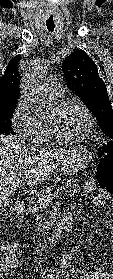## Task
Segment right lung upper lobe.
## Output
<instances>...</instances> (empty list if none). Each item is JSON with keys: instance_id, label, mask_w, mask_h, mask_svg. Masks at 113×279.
<instances>
[{"instance_id": "obj_1", "label": "right lung upper lobe", "mask_w": 113, "mask_h": 279, "mask_svg": "<svg viewBox=\"0 0 113 279\" xmlns=\"http://www.w3.org/2000/svg\"><path fill=\"white\" fill-rule=\"evenodd\" d=\"M21 56L13 57L0 78V110L15 107L19 98V74L17 64Z\"/></svg>"}]
</instances>
